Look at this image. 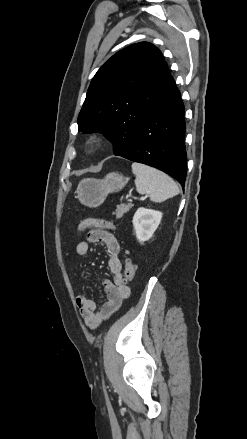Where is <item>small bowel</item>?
I'll return each mask as SVG.
<instances>
[{
    "instance_id": "c3829d8e",
    "label": "small bowel",
    "mask_w": 247,
    "mask_h": 439,
    "mask_svg": "<svg viewBox=\"0 0 247 439\" xmlns=\"http://www.w3.org/2000/svg\"><path fill=\"white\" fill-rule=\"evenodd\" d=\"M90 243H103L105 245L108 254L107 264L112 275L111 280L105 279L103 281L107 299L98 308L93 300L85 296L80 295L76 298V304L82 319L89 328L94 329L119 309L123 299L129 296L130 289L124 283L120 259L121 249L117 238L109 231L98 228L92 229L87 234V241L80 242L77 245V254L86 256L89 252ZM81 277H85L84 272H82Z\"/></svg>"
}]
</instances>
